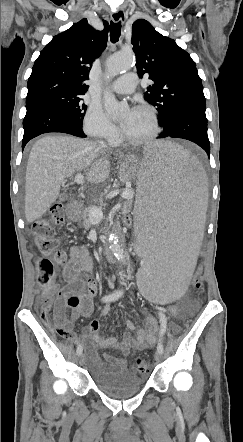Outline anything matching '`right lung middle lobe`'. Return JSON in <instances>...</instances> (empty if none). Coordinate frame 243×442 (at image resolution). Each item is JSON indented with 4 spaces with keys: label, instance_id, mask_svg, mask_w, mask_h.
<instances>
[{
    "label": "right lung middle lobe",
    "instance_id": "1",
    "mask_svg": "<svg viewBox=\"0 0 243 442\" xmlns=\"http://www.w3.org/2000/svg\"><path fill=\"white\" fill-rule=\"evenodd\" d=\"M82 93H76L65 90H50L29 99H49L58 102L64 106L67 111L82 124L87 106L82 102Z\"/></svg>",
    "mask_w": 243,
    "mask_h": 442
}]
</instances>
